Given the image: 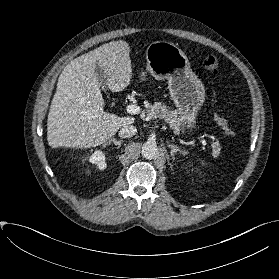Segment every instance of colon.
Returning <instances> with one entry per match:
<instances>
[{"mask_svg": "<svg viewBox=\"0 0 279 279\" xmlns=\"http://www.w3.org/2000/svg\"><path fill=\"white\" fill-rule=\"evenodd\" d=\"M201 70L211 75H217L219 73V64L217 59L209 54L203 55L201 58ZM215 120L226 136H234L235 132L233 128L230 126L229 121L220 110L215 112Z\"/></svg>", "mask_w": 279, "mask_h": 279, "instance_id": "1", "label": "colon"}]
</instances>
